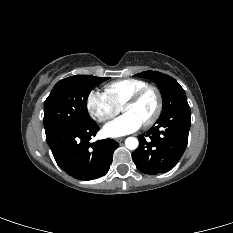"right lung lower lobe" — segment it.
<instances>
[{"label":"right lung lower lobe","mask_w":233,"mask_h":233,"mask_svg":"<svg viewBox=\"0 0 233 233\" xmlns=\"http://www.w3.org/2000/svg\"><path fill=\"white\" fill-rule=\"evenodd\" d=\"M99 129L91 120L46 133L48 145L62 170L74 178L87 181L100 178L108 172L113 152L119 144L110 139L90 143L91 137Z\"/></svg>","instance_id":"98d812e1"}]
</instances>
